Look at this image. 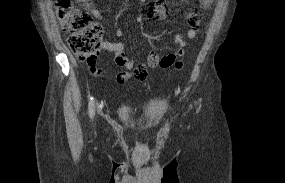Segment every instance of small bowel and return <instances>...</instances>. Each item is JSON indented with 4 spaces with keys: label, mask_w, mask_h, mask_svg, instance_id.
<instances>
[{
    "label": "small bowel",
    "mask_w": 285,
    "mask_h": 183,
    "mask_svg": "<svg viewBox=\"0 0 285 183\" xmlns=\"http://www.w3.org/2000/svg\"><path fill=\"white\" fill-rule=\"evenodd\" d=\"M203 13L199 14L197 12H192L188 15V31L186 36L178 34L174 38V43L176 45L175 51L166 54L164 56H159L156 52L151 51L146 58V61L140 65L135 66V61L130 57L125 51V43L123 41L110 42L104 41L102 46L103 49L114 55V59L117 65L125 68L126 70H132L135 68L134 73L129 71L120 72L116 75V81L119 84L126 85L129 83L130 79L134 76L136 69H141L144 72V77L142 80H146L148 76V68H168L172 66L178 59L182 58L185 55V48L187 46V39L194 40L199 34L200 22L207 16V12L212 5L213 0H198ZM77 2L87 10L93 17L100 20L102 18L101 12L95 7L94 3L91 0H77ZM166 16V7L162 3H157L153 5L148 13L147 18L153 19L158 18L162 19ZM117 36L123 35V30L118 28L115 31ZM89 71L91 74L97 77H105L106 72L99 69L96 66L95 60H92L88 63ZM138 80V79H137Z\"/></svg>",
    "instance_id": "small-bowel-1"
}]
</instances>
